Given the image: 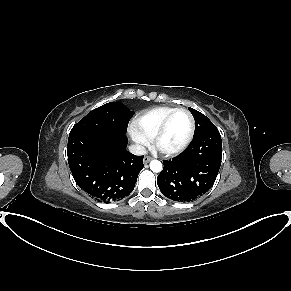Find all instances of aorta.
<instances>
[{"instance_id":"obj_1","label":"aorta","mask_w":291,"mask_h":291,"mask_svg":"<svg viewBox=\"0 0 291 291\" xmlns=\"http://www.w3.org/2000/svg\"><path fill=\"white\" fill-rule=\"evenodd\" d=\"M162 163L158 160H152L150 162V169L153 171V172H161L162 171Z\"/></svg>"}]
</instances>
